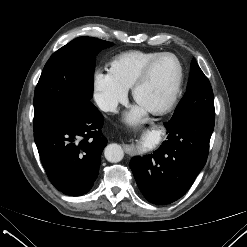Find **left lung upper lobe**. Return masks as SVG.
Wrapping results in <instances>:
<instances>
[{"label":"left lung upper lobe","mask_w":247,"mask_h":247,"mask_svg":"<svg viewBox=\"0 0 247 247\" xmlns=\"http://www.w3.org/2000/svg\"><path fill=\"white\" fill-rule=\"evenodd\" d=\"M190 113L215 118L214 98L211 84L195 59L192 60L187 92L178 104L171 122Z\"/></svg>","instance_id":"obj_1"}]
</instances>
